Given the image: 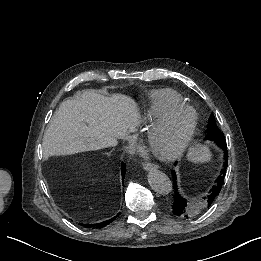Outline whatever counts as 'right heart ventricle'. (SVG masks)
I'll list each match as a JSON object with an SVG mask.
<instances>
[{
  "mask_svg": "<svg viewBox=\"0 0 261 261\" xmlns=\"http://www.w3.org/2000/svg\"><path fill=\"white\" fill-rule=\"evenodd\" d=\"M144 105V117L159 113L171 105H184L183 95L173 88H150L137 92Z\"/></svg>",
  "mask_w": 261,
  "mask_h": 261,
  "instance_id": "obj_1",
  "label": "right heart ventricle"
}]
</instances>
